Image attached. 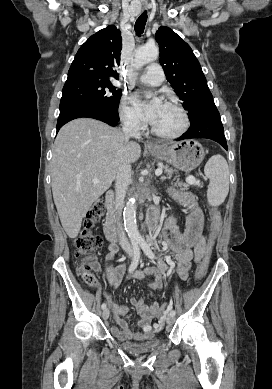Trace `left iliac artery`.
Returning a JSON list of instances; mask_svg holds the SVG:
<instances>
[{
  "instance_id": "obj_1",
  "label": "left iliac artery",
  "mask_w": 272,
  "mask_h": 389,
  "mask_svg": "<svg viewBox=\"0 0 272 389\" xmlns=\"http://www.w3.org/2000/svg\"><path fill=\"white\" fill-rule=\"evenodd\" d=\"M138 243L141 246V248L144 251V253L150 259H154L155 258V255H154L153 251L151 250L150 246L148 245V243L144 239H139ZM169 309H171V306H169ZM175 314H176V312L174 310L170 311V315L175 316Z\"/></svg>"
}]
</instances>
